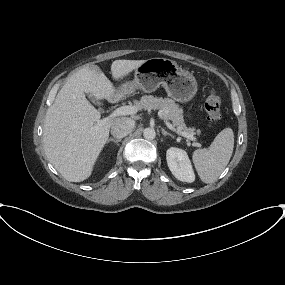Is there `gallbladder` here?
I'll use <instances>...</instances> for the list:
<instances>
[{
  "mask_svg": "<svg viewBox=\"0 0 285 285\" xmlns=\"http://www.w3.org/2000/svg\"><path fill=\"white\" fill-rule=\"evenodd\" d=\"M87 95L93 101V103L97 104L98 106L101 105L100 101H98L94 96H92L91 94H87Z\"/></svg>",
  "mask_w": 285,
  "mask_h": 285,
  "instance_id": "obj_1",
  "label": "gallbladder"
}]
</instances>
